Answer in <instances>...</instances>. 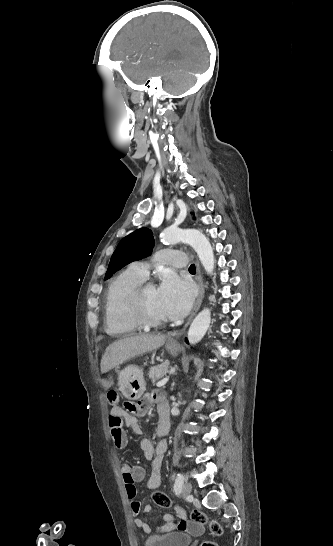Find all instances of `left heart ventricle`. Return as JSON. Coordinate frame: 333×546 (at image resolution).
Returning <instances> with one entry per match:
<instances>
[{
    "label": "left heart ventricle",
    "instance_id": "b2bd125f",
    "mask_svg": "<svg viewBox=\"0 0 333 546\" xmlns=\"http://www.w3.org/2000/svg\"><path fill=\"white\" fill-rule=\"evenodd\" d=\"M142 303L145 312L150 317L155 319L166 318L160 306L157 289L154 286H151L145 290Z\"/></svg>",
    "mask_w": 333,
    "mask_h": 546
}]
</instances>
